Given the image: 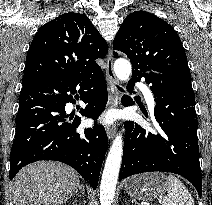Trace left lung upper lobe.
<instances>
[{
    "mask_svg": "<svg viewBox=\"0 0 212 205\" xmlns=\"http://www.w3.org/2000/svg\"><path fill=\"white\" fill-rule=\"evenodd\" d=\"M115 57L127 56L132 76L143 72L167 73L191 81L186 54L176 31L164 20L136 11L123 21L113 43Z\"/></svg>",
    "mask_w": 212,
    "mask_h": 205,
    "instance_id": "obj_1",
    "label": "left lung upper lobe"
}]
</instances>
